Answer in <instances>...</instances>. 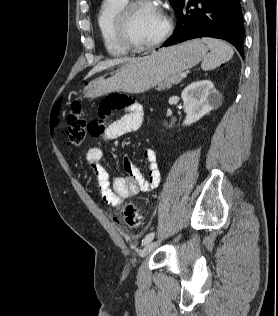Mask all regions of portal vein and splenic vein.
<instances>
[{"label":"portal vein and splenic vein","instance_id":"1","mask_svg":"<svg viewBox=\"0 0 278 316\" xmlns=\"http://www.w3.org/2000/svg\"><path fill=\"white\" fill-rule=\"evenodd\" d=\"M181 78H186L187 77V74L186 73H181Z\"/></svg>","mask_w":278,"mask_h":316}]
</instances>
